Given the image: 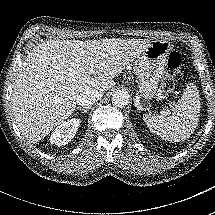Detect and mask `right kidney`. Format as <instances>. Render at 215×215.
<instances>
[{
	"label": "right kidney",
	"mask_w": 215,
	"mask_h": 215,
	"mask_svg": "<svg viewBox=\"0 0 215 215\" xmlns=\"http://www.w3.org/2000/svg\"><path fill=\"white\" fill-rule=\"evenodd\" d=\"M79 125L80 120L75 118L63 122L56 127L55 131L51 136L50 142L57 146L66 145L74 137Z\"/></svg>",
	"instance_id": "ca27d5eb"
}]
</instances>
